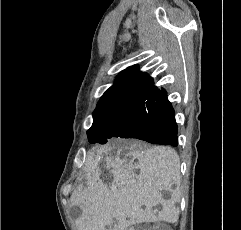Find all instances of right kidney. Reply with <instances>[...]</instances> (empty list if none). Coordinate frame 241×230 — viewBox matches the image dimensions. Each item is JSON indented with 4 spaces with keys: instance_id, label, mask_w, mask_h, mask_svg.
<instances>
[{
    "instance_id": "obj_1",
    "label": "right kidney",
    "mask_w": 241,
    "mask_h": 230,
    "mask_svg": "<svg viewBox=\"0 0 241 230\" xmlns=\"http://www.w3.org/2000/svg\"><path fill=\"white\" fill-rule=\"evenodd\" d=\"M125 230H133V228L125 229Z\"/></svg>"
}]
</instances>
